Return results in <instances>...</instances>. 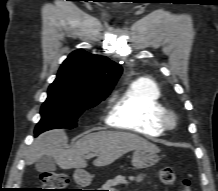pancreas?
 I'll return each instance as SVG.
<instances>
[{
  "mask_svg": "<svg viewBox=\"0 0 218 191\" xmlns=\"http://www.w3.org/2000/svg\"><path fill=\"white\" fill-rule=\"evenodd\" d=\"M129 180L141 182L143 180V175H138L137 177L131 176V177H129ZM119 184H128V181L126 180V178L124 176L119 175V176H116L112 180H108L104 184L103 189H108L109 191H114V187L118 186Z\"/></svg>",
  "mask_w": 218,
  "mask_h": 191,
  "instance_id": "cf45deb5",
  "label": "pancreas"
}]
</instances>
